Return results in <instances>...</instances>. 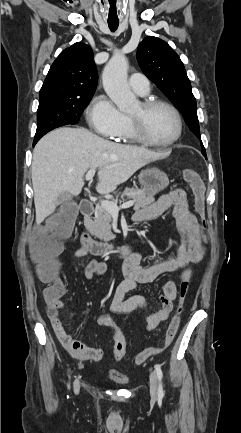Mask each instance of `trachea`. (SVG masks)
<instances>
[{
    "instance_id": "obj_1",
    "label": "trachea",
    "mask_w": 241,
    "mask_h": 433,
    "mask_svg": "<svg viewBox=\"0 0 241 433\" xmlns=\"http://www.w3.org/2000/svg\"><path fill=\"white\" fill-rule=\"evenodd\" d=\"M119 25V14L117 13V5L114 2L108 5V26L111 31H116Z\"/></svg>"
}]
</instances>
